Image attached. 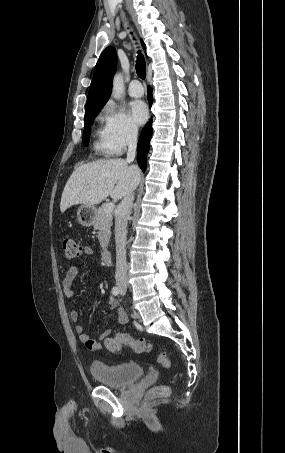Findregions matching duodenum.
<instances>
[{
    "label": "duodenum",
    "mask_w": 285,
    "mask_h": 453,
    "mask_svg": "<svg viewBox=\"0 0 285 453\" xmlns=\"http://www.w3.org/2000/svg\"><path fill=\"white\" fill-rule=\"evenodd\" d=\"M102 258H103V261L106 264H111V262H112V253H111V251L110 250H105L102 253Z\"/></svg>",
    "instance_id": "410a0bca"
}]
</instances>
